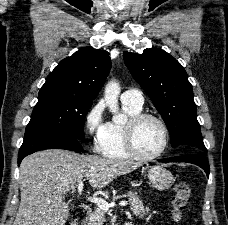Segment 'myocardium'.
<instances>
[{
    "mask_svg": "<svg viewBox=\"0 0 228 225\" xmlns=\"http://www.w3.org/2000/svg\"><path fill=\"white\" fill-rule=\"evenodd\" d=\"M147 119H153V120L157 121L161 125V127L163 128V131H164L163 146L159 152H157L156 154H153V155L143 154L139 150L138 145H137V140H136L137 130H138L139 126ZM125 141H126V146H127L128 150L134 157H136L138 159H142V160H154V159L161 157L166 152L168 145H169V141H170V131H169L167 123L158 115L141 112L139 114H136V115H133L132 117H130L129 121L126 123Z\"/></svg>",
    "mask_w": 228,
    "mask_h": 225,
    "instance_id": "myocardium-1",
    "label": "myocardium"
}]
</instances>
